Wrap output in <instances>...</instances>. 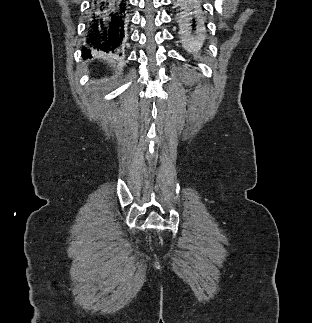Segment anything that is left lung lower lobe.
Wrapping results in <instances>:
<instances>
[{"label": "left lung lower lobe", "instance_id": "0a47b994", "mask_svg": "<svg viewBox=\"0 0 312 323\" xmlns=\"http://www.w3.org/2000/svg\"><path fill=\"white\" fill-rule=\"evenodd\" d=\"M176 31L185 48L191 53H201L205 48L206 23L202 11L204 8L196 0H183L176 3Z\"/></svg>", "mask_w": 312, "mask_h": 323}]
</instances>
